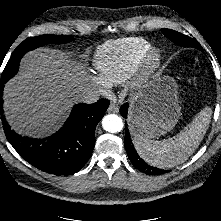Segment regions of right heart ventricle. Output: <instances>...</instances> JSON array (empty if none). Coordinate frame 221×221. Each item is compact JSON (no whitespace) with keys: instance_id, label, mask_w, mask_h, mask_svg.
I'll list each match as a JSON object with an SVG mask.
<instances>
[{"instance_id":"1","label":"right heart ventricle","mask_w":221,"mask_h":221,"mask_svg":"<svg viewBox=\"0 0 221 221\" xmlns=\"http://www.w3.org/2000/svg\"><path fill=\"white\" fill-rule=\"evenodd\" d=\"M150 47V42L142 37L122 38L104 43L98 47L94 57L98 76L109 86L125 82Z\"/></svg>"}]
</instances>
